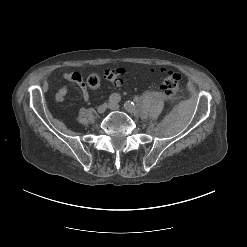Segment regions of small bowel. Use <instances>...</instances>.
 Masks as SVG:
<instances>
[{
  "mask_svg": "<svg viewBox=\"0 0 247 247\" xmlns=\"http://www.w3.org/2000/svg\"><path fill=\"white\" fill-rule=\"evenodd\" d=\"M117 74H118V78L115 81H112V83H114L115 85H120L121 84V79L120 76L125 72L123 68H118L116 69ZM63 78L71 83L76 84L80 90H81V94L84 100H88L89 99V92L87 90L86 84L84 82V79L82 77V75L78 72H66L63 74ZM68 93V87L66 84L62 85L56 95H55V99L58 102H61L64 100L65 96Z\"/></svg>",
  "mask_w": 247,
  "mask_h": 247,
  "instance_id": "c3829d8e",
  "label": "small bowel"
}]
</instances>
